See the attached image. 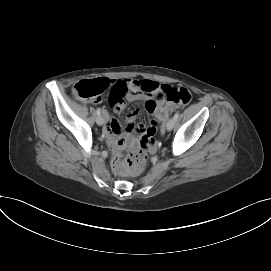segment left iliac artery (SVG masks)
Returning a JSON list of instances; mask_svg holds the SVG:
<instances>
[{"mask_svg":"<svg viewBox=\"0 0 271 271\" xmlns=\"http://www.w3.org/2000/svg\"><path fill=\"white\" fill-rule=\"evenodd\" d=\"M178 117H179V112H176V113L174 114V116H173V119L176 121V120L178 119Z\"/></svg>","mask_w":271,"mask_h":271,"instance_id":"1","label":"left iliac artery"}]
</instances>
